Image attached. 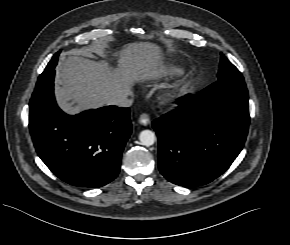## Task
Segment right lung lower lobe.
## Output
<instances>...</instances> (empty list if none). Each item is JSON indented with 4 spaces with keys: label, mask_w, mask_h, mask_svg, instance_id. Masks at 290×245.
I'll list each match as a JSON object with an SVG mask.
<instances>
[{
    "label": "right lung lower lobe",
    "mask_w": 290,
    "mask_h": 245,
    "mask_svg": "<svg viewBox=\"0 0 290 245\" xmlns=\"http://www.w3.org/2000/svg\"><path fill=\"white\" fill-rule=\"evenodd\" d=\"M54 69L38 78L29 103V129L35 149L61 180L101 187L114 180L131 134L130 109L106 106L71 116L54 98Z\"/></svg>",
    "instance_id": "1"
}]
</instances>
